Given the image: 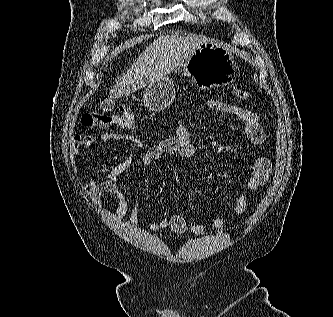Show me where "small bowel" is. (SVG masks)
Wrapping results in <instances>:
<instances>
[{
	"label": "small bowel",
	"instance_id": "small-bowel-1",
	"mask_svg": "<svg viewBox=\"0 0 333 317\" xmlns=\"http://www.w3.org/2000/svg\"><path fill=\"white\" fill-rule=\"evenodd\" d=\"M204 105L210 110L233 115L242 121L245 134L252 144L260 146L265 143V130L260 123L258 114L253 110L217 100H207ZM184 115L185 112L182 109L177 112L176 131L173 136L165 138L146 149L140 158V161L144 166L152 165L154 162L165 156L175 155L189 160H195L197 158V150L192 143L190 132L183 121ZM117 140L131 141L138 146H142L140 140L132 135L105 132L100 136V141L102 143ZM92 141L93 138L91 136H75L70 145L71 156L73 158L77 156L80 148H88ZM134 162V155L127 156L110 170L106 180L97 181L91 179L88 181L85 185V191L90 199L98 205L100 204L101 198L105 195L115 198L117 201L115 210L116 218L118 220H123L129 215L131 223L136 226L138 224V202L136 199L129 202L118 185L122 174L128 170ZM271 171L272 164L266 157H259L250 163L245 186L239 191L235 200V215L239 216L244 213L248 206L249 195L257 192L259 187L264 186L269 181ZM224 224L225 220L222 215H217L212 220V226L216 229L223 228ZM148 229L151 232L170 229L180 234L187 231H191L194 234H204L206 232V227L204 225L198 223L189 224L181 214H174L171 217H165L159 221H152L148 224Z\"/></svg>",
	"mask_w": 333,
	"mask_h": 317
}]
</instances>
